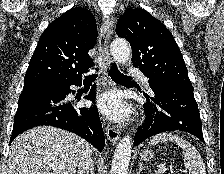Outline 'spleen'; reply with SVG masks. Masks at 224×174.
Listing matches in <instances>:
<instances>
[{
  "instance_id": "3e777b00",
  "label": "spleen",
  "mask_w": 224,
  "mask_h": 174,
  "mask_svg": "<svg viewBox=\"0 0 224 174\" xmlns=\"http://www.w3.org/2000/svg\"><path fill=\"white\" fill-rule=\"evenodd\" d=\"M171 141L182 148L184 155V166L189 174H206V169L201 155L197 149L173 133H160L155 135L149 142L150 145H156L159 142Z\"/></svg>"
}]
</instances>
